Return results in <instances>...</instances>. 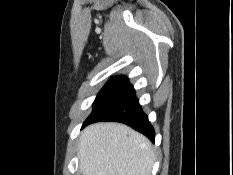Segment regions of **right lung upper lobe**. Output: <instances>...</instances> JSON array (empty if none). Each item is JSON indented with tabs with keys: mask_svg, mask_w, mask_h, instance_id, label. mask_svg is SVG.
I'll use <instances>...</instances> for the list:
<instances>
[{
	"mask_svg": "<svg viewBox=\"0 0 233 175\" xmlns=\"http://www.w3.org/2000/svg\"><path fill=\"white\" fill-rule=\"evenodd\" d=\"M115 78H125V77H123V76H118V77H115Z\"/></svg>",
	"mask_w": 233,
	"mask_h": 175,
	"instance_id": "1",
	"label": "right lung upper lobe"
}]
</instances>
